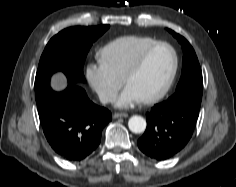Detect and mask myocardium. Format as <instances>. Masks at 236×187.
I'll return each mask as SVG.
<instances>
[{
	"instance_id": "1",
	"label": "myocardium",
	"mask_w": 236,
	"mask_h": 187,
	"mask_svg": "<svg viewBox=\"0 0 236 187\" xmlns=\"http://www.w3.org/2000/svg\"><path fill=\"white\" fill-rule=\"evenodd\" d=\"M159 47H166L168 48L172 55H173V65H172V69L170 72V75L168 77V80L166 81L165 85L161 88V90H159L157 93L141 99L140 101L144 104H151V103H155L159 100H161L171 89L177 72H178V67H179V56L178 53L176 51V49L168 42H164V41H157L153 44H151L150 46H148L147 48H145L135 59V61L132 63V65L129 67V69L126 71L122 81L125 85H127V82L129 81L130 78H132L134 75H136L140 69L142 68V66L144 65L146 59L148 58V56L157 48Z\"/></svg>"
}]
</instances>
